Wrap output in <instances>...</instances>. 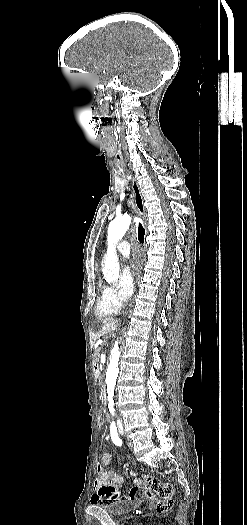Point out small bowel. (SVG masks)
I'll list each match as a JSON object with an SVG mask.
<instances>
[{"mask_svg": "<svg viewBox=\"0 0 247 525\" xmlns=\"http://www.w3.org/2000/svg\"><path fill=\"white\" fill-rule=\"evenodd\" d=\"M111 437L108 435L107 439ZM112 461V454L110 452H105L97 465V475L95 478V488L96 493L92 497L93 506H118L120 502V496L117 485L121 484L123 478L116 472L106 471V467ZM127 475H138L140 470L138 468H127L125 470ZM133 479H136V476H133ZM147 476H144V479L141 476H138V479L134 481V485L129 490V495L131 496V501L134 504H139L142 501L141 493L144 492L146 496H149L151 493L157 495L156 500L158 504L155 505L154 510L156 513H166L169 514L173 510V502L171 496L173 494V487L171 482L166 479L152 480L146 482ZM148 489L145 490V487ZM145 490V491H144ZM162 494V496H161ZM129 498V497H128ZM130 499V498H129ZM147 500H150V497H147Z\"/></svg>", "mask_w": 247, "mask_h": 525, "instance_id": "c3829d8e", "label": "small bowel"}]
</instances>
